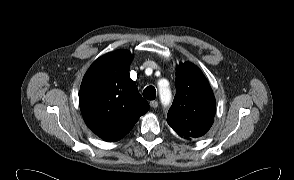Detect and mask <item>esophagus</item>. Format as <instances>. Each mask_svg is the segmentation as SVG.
I'll return each instance as SVG.
<instances>
[{
    "mask_svg": "<svg viewBox=\"0 0 294 180\" xmlns=\"http://www.w3.org/2000/svg\"><path fill=\"white\" fill-rule=\"evenodd\" d=\"M150 106L152 107V108H156V107H158V101H150Z\"/></svg>",
    "mask_w": 294,
    "mask_h": 180,
    "instance_id": "obj_1",
    "label": "esophagus"
}]
</instances>
